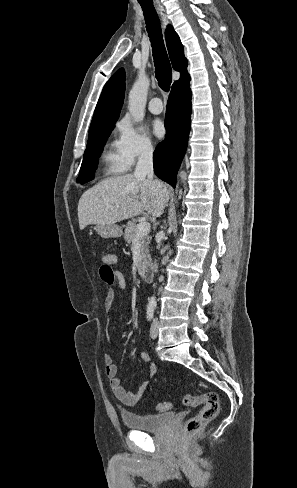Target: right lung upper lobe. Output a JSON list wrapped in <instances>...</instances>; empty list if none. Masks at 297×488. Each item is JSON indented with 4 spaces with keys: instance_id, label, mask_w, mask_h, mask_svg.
<instances>
[{
    "instance_id": "obj_1",
    "label": "right lung upper lobe",
    "mask_w": 297,
    "mask_h": 488,
    "mask_svg": "<svg viewBox=\"0 0 297 488\" xmlns=\"http://www.w3.org/2000/svg\"><path fill=\"white\" fill-rule=\"evenodd\" d=\"M166 43L172 66L180 72L182 81L189 78L187 72L188 62L184 57V49L181 41L171 25L166 30ZM175 81V82H178ZM125 91V71L119 69L105 84L97 103L89 132L98 126L114 125L119 118Z\"/></svg>"
}]
</instances>
